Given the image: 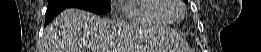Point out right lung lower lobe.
<instances>
[{"mask_svg":"<svg viewBox=\"0 0 261 52\" xmlns=\"http://www.w3.org/2000/svg\"><path fill=\"white\" fill-rule=\"evenodd\" d=\"M65 8H67V7H61V6L47 7V11H46V14H45V25L48 22H50L54 16H56L58 13H60Z\"/></svg>","mask_w":261,"mask_h":52,"instance_id":"1","label":"right lung lower lobe"}]
</instances>
